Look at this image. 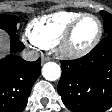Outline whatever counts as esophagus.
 <instances>
[{"label": "esophagus", "instance_id": "obj_1", "mask_svg": "<svg viewBox=\"0 0 112 112\" xmlns=\"http://www.w3.org/2000/svg\"><path fill=\"white\" fill-rule=\"evenodd\" d=\"M50 58L49 57H42V62H46V61H49Z\"/></svg>", "mask_w": 112, "mask_h": 112}]
</instances>
